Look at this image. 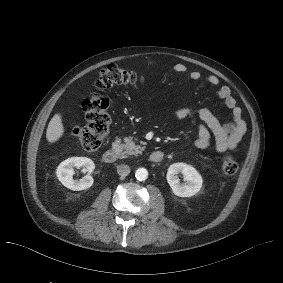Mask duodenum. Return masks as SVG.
<instances>
[{
    "mask_svg": "<svg viewBox=\"0 0 283 283\" xmlns=\"http://www.w3.org/2000/svg\"><path fill=\"white\" fill-rule=\"evenodd\" d=\"M121 145L119 141H116L111 148L106 150L103 154V161L108 164H112L118 161L120 157ZM164 158V154L161 151H154L150 154L149 159L154 163L161 162Z\"/></svg>",
    "mask_w": 283,
    "mask_h": 283,
    "instance_id": "410a0bca",
    "label": "duodenum"
}]
</instances>
